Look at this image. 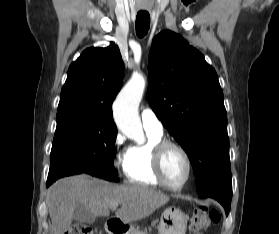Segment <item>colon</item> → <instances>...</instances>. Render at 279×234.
Returning <instances> with one entry per match:
<instances>
[{
	"label": "colon",
	"mask_w": 279,
	"mask_h": 234,
	"mask_svg": "<svg viewBox=\"0 0 279 234\" xmlns=\"http://www.w3.org/2000/svg\"><path fill=\"white\" fill-rule=\"evenodd\" d=\"M221 219L220 213L215 209L200 206L191 215L189 228L192 234H201L211 223H218ZM63 234H92L91 228L83 223L74 224Z\"/></svg>",
	"instance_id": "colon-1"
}]
</instances>
